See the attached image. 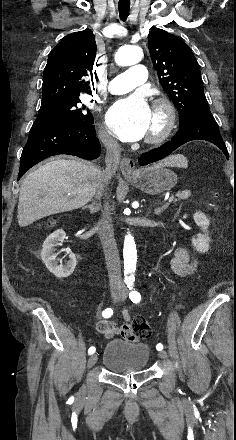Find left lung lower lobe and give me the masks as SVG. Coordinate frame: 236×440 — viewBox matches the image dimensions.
I'll return each mask as SVG.
<instances>
[{
  "label": "left lung lower lobe",
  "mask_w": 236,
  "mask_h": 440,
  "mask_svg": "<svg viewBox=\"0 0 236 440\" xmlns=\"http://www.w3.org/2000/svg\"><path fill=\"white\" fill-rule=\"evenodd\" d=\"M192 140H206L219 147L228 158V151L219 132L218 125L209 109L196 112L186 123L180 125L173 139L159 148L142 154L141 166L163 159L179 146Z\"/></svg>",
  "instance_id": "left-lung-lower-lobe-1"
}]
</instances>
